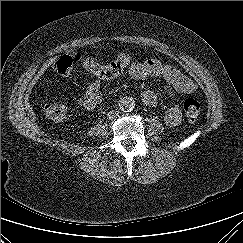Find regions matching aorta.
Instances as JSON below:
<instances>
[{"label":"aorta","instance_id":"obj_1","mask_svg":"<svg viewBox=\"0 0 243 243\" xmlns=\"http://www.w3.org/2000/svg\"><path fill=\"white\" fill-rule=\"evenodd\" d=\"M135 107V102L130 97H123L119 100V108L123 112H131Z\"/></svg>","mask_w":243,"mask_h":243}]
</instances>
